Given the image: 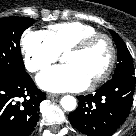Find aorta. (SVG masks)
<instances>
[{"instance_id":"1","label":"aorta","mask_w":136,"mask_h":136,"mask_svg":"<svg viewBox=\"0 0 136 136\" xmlns=\"http://www.w3.org/2000/svg\"><path fill=\"white\" fill-rule=\"evenodd\" d=\"M61 106L66 111H72L76 108V99L73 96L66 95L61 98Z\"/></svg>"}]
</instances>
